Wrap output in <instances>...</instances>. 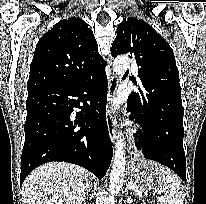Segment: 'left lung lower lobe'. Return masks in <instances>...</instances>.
Wrapping results in <instances>:
<instances>
[{"mask_svg":"<svg viewBox=\"0 0 206 204\" xmlns=\"http://www.w3.org/2000/svg\"><path fill=\"white\" fill-rule=\"evenodd\" d=\"M141 83L144 84L143 78ZM143 91L141 85L140 93L132 92L127 101V110L131 112L130 119L142 127L138 148L142 149L145 158L169 167L186 182L182 101L175 98L170 103L157 104L151 116L146 118L141 109L148 103L144 100Z\"/></svg>","mask_w":206,"mask_h":204,"instance_id":"0a47b994","label":"left lung lower lobe"}]
</instances>
